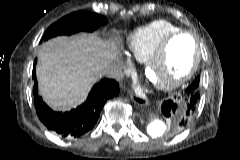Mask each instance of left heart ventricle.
I'll list each match as a JSON object with an SVG mask.
<instances>
[{"label":"left heart ventricle","mask_w":240,"mask_h":160,"mask_svg":"<svg viewBox=\"0 0 240 160\" xmlns=\"http://www.w3.org/2000/svg\"><path fill=\"white\" fill-rule=\"evenodd\" d=\"M194 58V45L188 36H179L170 42L162 60L148 73L153 82H164L184 74Z\"/></svg>","instance_id":"left-heart-ventricle-1"}]
</instances>
